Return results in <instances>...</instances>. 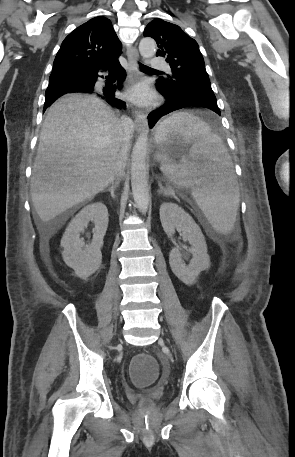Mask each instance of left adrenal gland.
I'll list each match as a JSON object with an SVG mask.
<instances>
[{"label": "left adrenal gland", "instance_id": "obj_1", "mask_svg": "<svg viewBox=\"0 0 295 457\" xmlns=\"http://www.w3.org/2000/svg\"><path fill=\"white\" fill-rule=\"evenodd\" d=\"M158 185H159L158 194H163L164 196L170 195V193L166 189H164V187L162 186V183L160 181H158Z\"/></svg>", "mask_w": 295, "mask_h": 457}]
</instances>
